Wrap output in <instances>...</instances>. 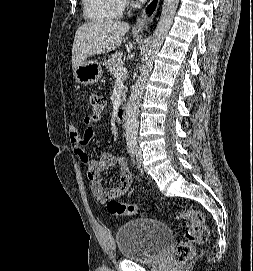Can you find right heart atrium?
Listing matches in <instances>:
<instances>
[{
	"label": "right heart atrium",
	"mask_w": 253,
	"mask_h": 271,
	"mask_svg": "<svg viewBox=\"0 0 253 271\" xmlns=\"http://www.w3.org/2000/svg\"><path fill=\"white\" fill-rule=\"evenodd\" d=\"M123 2L126 5L129 2V0H123Z\"/></svg>",
	"instance_id": "obj_1"
}]
</instances>
